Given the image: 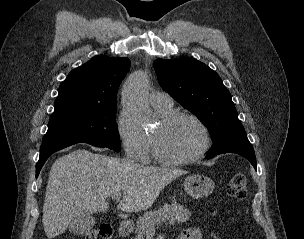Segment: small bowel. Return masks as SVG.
Masks as SVG:
<instances>
[{
	"label": "small bowel",
	"instance_id": "small-bowel-1",
	"mask_svg": "<svg viewBox=\"0 0 304 239\" xmlns=\"http://www.w3.org/2000/svg\"><path fill=\"white\" fill-rule=\"evenodd\" d=\"M178 239H202V231L199 228H188L180 234Z\"/></svg>",
	"mask_w": 304,
	"mask_h": 239
}]
</instances>
